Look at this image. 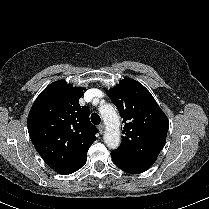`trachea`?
Returning a JSON list of instances; mask_svg holds the SVG:
<instances>
[{"instance_id": "1", "label": "trachea", "mask_w": 209, "mask_h": 209, "mask_svg": "<svg viewBox=\"0 0 209 209\" xmlns=\"http://www.w3.org/2000/svg\"><path fill=\"white\" fill-rule=\"evenodd\" d=\"M91 122H92L94 125L100 124V122H101L100 116H99L97 113H92V114H91Z\"/></svg>"}]
</instances>
